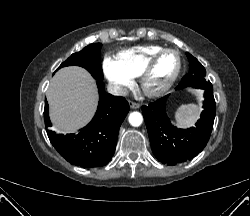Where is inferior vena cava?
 <instances>
[{
    "label": "inferior vena cava",
    "mask_w": 250,
    "mask_h": 216,
    "mask_svg": "<svg viewBox=\"0 0 250 216\" xmlns=\"http://www.w3.org/2000/svg\"><path fill=\"white\" fill-rule=\"evenodd\" d=\"M107 90L110 94L115 96H126L128 94V90L125 87L115 83H109L107 85Z\"/></svg>",
    "instance_id": "obj_1"
}]
</instances>
